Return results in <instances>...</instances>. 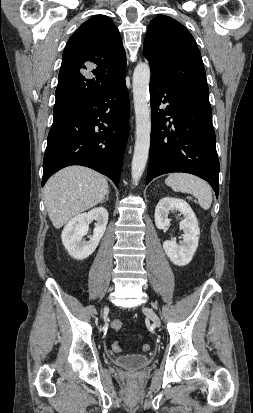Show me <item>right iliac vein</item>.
Masks as SVG:
<instances>
[{
    "label": "right iliac vein",
    "mask_w": 253,
    "mask_h": 413,
    "mask_svg": "<svg viewBox=\"0 0 253 413\" xmlns=\"http://www.w3.org/2000/svg\"><path fill=\"white\" fill-rule=\"evenodd\" d=\"M108 310V306H105L103 312L105 313Z\"/></svg>",
    "instance_id": "right-iliac-vein-1"
}]
</instances>
